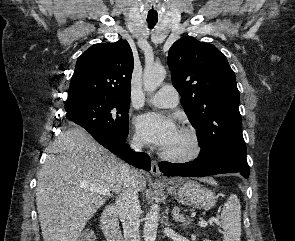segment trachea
I'll list each match as a JSON object with an SVG mask.
<instances>
[{
    "label": "trachea",
    "mask_w": 295,
    "mask_h": 241,
    "mask_svg": "<svg viewBox=\"0 0 295 241\" xmlns=\"http://www.w3.org/2000/svg\"><path fill=\"white\" fill-rule=\"evenodd\" d=\"M147 23L149 28H153L156 25L157 21H147Z\"/></svg>",
    "instance_id": "trachea-1"
}]
</instances>
